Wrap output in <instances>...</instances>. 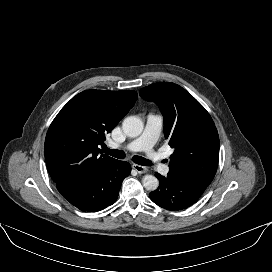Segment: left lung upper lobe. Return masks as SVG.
<instances>
[{
	"mask_svg": "<svg viewBox=\"0 0 272 272\" xmlns=\"http://www.w3.org/2000/svg\"><path fill=\"white\" fill-rule=\"evenodd\" d=\"M140 96L156 103L164 116V134L174 148L169 173L208 186L219 160V137L206 109L185 89L158 82L140 90Z\"/></svg>",
	"mask_w": 272,
	"mask_h": 272,
	"instance_id": "obj_1",
	"label": "left lung upper lobe"
}]
</instances>
